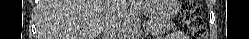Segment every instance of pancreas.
I'll use <instances>...</instances> for the list:
<instances>
[{
  "label": "pancreas",
  "instance_id": "obj_1",
  "mask_svg": "<svg viewBox=\"0 0 249 39\" xmlns=\"http://www.w3.org/2000/svg\"><path fill=\"white\" fill-rule=\"evenodd\" d=\"M147 29L152 34L158 35V34H163L165 32H168V31L174 29V25L171 23H168L164 20L157 19V20L150 21Z\"/></svg>",
  "mask_w": 249,
  "mask_h": 39
}]
</instances>
